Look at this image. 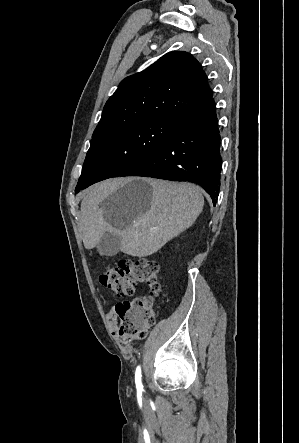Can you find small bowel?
Segmentation results:
<instances>
[{"instance_id":"small-bowel-1","label":"small bowel","mask_w":299,"mask_h":443,"mask_svg":"<svg viewBox=\"0 0 299 443\" xmlns=\"http://www.w3.org/2000/svg\"><path fill=\"white\" fill-rule=\"evenodd\" d=\"M106 320L108 323V328L112 334H116L118 331V316L115 310V306H112L106 312Z\"/></svg>"}]
</instances>
